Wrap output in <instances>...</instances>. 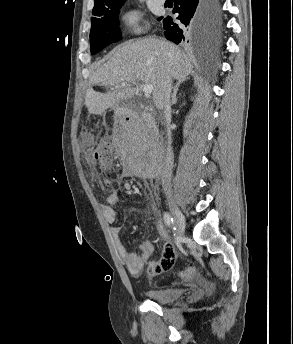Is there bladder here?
Listing matches in <instances>:
<instances>
[{"label": "bladder", "instance_id": "obj_1", "mask_svg": "<svg viewBox=\"0 0 293 344\" xmlns=\"http://www.w3.org/2000/svg\"><path fill=\"white\" fill-rule=\"evenodd\" d=\"M146 295L155 302L166 304L179 300L182 291L172 287H161L148 290Z\"/></svg>", "mask_w": 293, "mask_h": 344}]
</instances>
